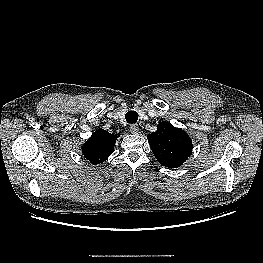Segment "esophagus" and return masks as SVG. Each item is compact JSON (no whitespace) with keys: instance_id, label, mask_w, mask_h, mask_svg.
I'll return each mask as SVG.
<instances>
[{"instance_id":"esophagus-1","label":"esophagus","mask_w":263,"mask_h":263,"mask_svg":"<svg viewBox=\"0 0 263 263\" xmlns=\"http://www.w3.org/2000/svg\"><path fill=\"white\" fill-rule=\"evenodd\" d=\"M130 131L132 134H138L139 133V126L137 124H133L130 126Z\"/></svg>"}]
</instances>
